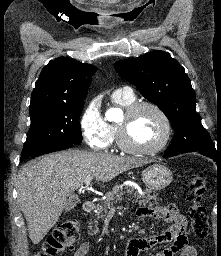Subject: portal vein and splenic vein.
Wrapping results in <instances>:
<instances>
[{
	"instance_id": "portal-vein-and-splenic-vein-1",
	"label": "portal vein and splenic vein",
	"mask_w": 221,
	"mask_h": 256,
	"mask_svg": "<svg viewBox=\"0 0 221 256\" xmlns=\"http://www.w3.org/2000/svg\"><path fill=\"white\" fill-rule=\"evenodd\" d=\"M90 182H91V178L86 179L84 183H85L86 186H89V185H90Z\"/></svg>"
}]
</instances>
